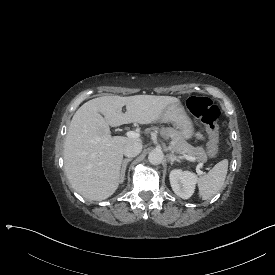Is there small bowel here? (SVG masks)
Instances as JSON below:
<instances>
[{
    "label": "small bowel",
    "instance_id": "obj_1",
    "mask_svg": "<svg viewBox=\"0 0 275 275\" xmlns=\"http://www.w3.org/2000/svg\"><path fill=\"white\" fill-rule=\"evenodd\" d=\"M196 138H197L198 140H203V139H204V136H203L200 132H197V133H196Z\"/></svg>",
    "mask_w": 275,
    "mask_h": 275
}]
</instances>
